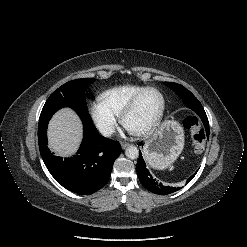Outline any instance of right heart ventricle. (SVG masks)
I'll list each match as a JSON object with an SVG mask.
<instances>
[{"instance_id":"1","label":"right heart ventricle","mask_w":247,"mask_h":247,"mask_svg":"<svg viewBox=\"0 0 247 247\" xmlns=\"http://www.w3.org/2000/svg\"><path fill=\"white\" fill-rule=\"evenodd\" d=\"M144 88L139 85L117 86L103 92L100 100L112 113L119 116L129 101Z\"/></svg>"}]
</instances>
